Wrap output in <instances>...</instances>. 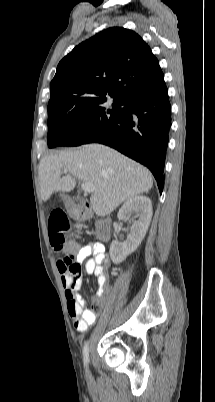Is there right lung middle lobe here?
<instances>
[{
	"label": "right lung middle lobe",
	"mask_w": 215,
	"mask_h": 402,
	"mask_svg": "<svg viewBox=\"0 0 215 402\" xmlns=\"http://www.w3.org/2000/svg\"><path fill=\"white\" fill-rule=\"evenodd\" d=\"M106 94L59 97L48 103V147L78 146L91 134L104 130L124 112L126 99Z\"/></svg>",
	"instance_id": "dd1d6c3e"
}]
</instances>
